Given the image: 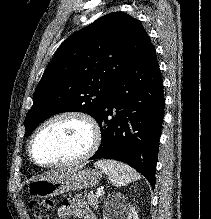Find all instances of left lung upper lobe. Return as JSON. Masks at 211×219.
Returning a JSON list of instances; mask_svg holds the SVG:
<instances>
[{"label": "left lung upper lobe", "instance_id": "1", "mask_svg": "<svg viewBox=\"0 0 211 219\" xmlns=\"http://www.w3.org/2000/svg\"><path fill=\"white\" fill-rule=\"evenodd\" d=\"M148 39L142 24L123 12L104 15L68 37L35 90L25 136L61 112H85L96 119L108 91Z\"/></svg>", "mask_w": 211, "mask_h": 219}]
</instances>
